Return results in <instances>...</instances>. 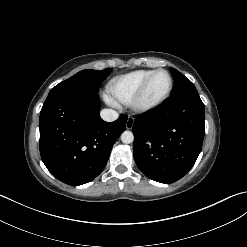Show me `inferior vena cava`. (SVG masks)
Here are the masks:
<instances>
[{"label": "inferior vena cava", "mask_w": 247, "mask_h": 247, "mask_svg": "<svg viewBox=\"0 0 247 247\" xmlns=\"http://www.w3.org/2000/svg\"><path fill=\"white\" fill-rule=\"evenodd\" d=\"M101 118L106 122H112L118 119V113L112 109H103L100 112Z\"/></svg>", "instance_id": "obj_1"}]
</instances>
